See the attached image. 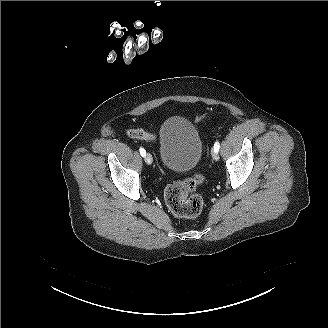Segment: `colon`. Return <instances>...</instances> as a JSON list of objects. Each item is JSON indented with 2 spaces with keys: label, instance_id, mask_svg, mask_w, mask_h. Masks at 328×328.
<instances>
[{
  "label": "colon",
  "instance_id": "1",
  "mask_svg": "<svg viewBox=\"0 0 328 328\" xmlns=\"http://www.w3.org/2000/svg\"><path fill=\"white\" fill-rule=\"evenodd\" d=\"M204 116H198L201 120ZM131 138L152 141L154 137L144 130L134 129L128 132ZM201 174L195 173L181 181H174L167 185L164 193L168 209L177 217L185 219L197 218L203 211L204 199L197 193V188L203 183Z\"/></svg>",
  "mask_w": 328,
  "mask_h": 328
}]
</instances>
